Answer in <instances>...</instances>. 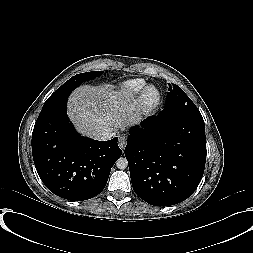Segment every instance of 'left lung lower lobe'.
Wrapping results in <instances>:
<instances>
[{"label":"left lung lower lobe","instance_id":"0a47b994","mask_svg":"<svg viewBox=\"0 0 253 253\" xmlns=\"http://www.w3.org/2000/svg\"><path fill=\"white\" fill-rule=\"evenodd\" d=\"M125 156L135 193L154 206L187 199L199 185L206 161L199 111L164 109L129 130Z\"/></svg>","mask_w":253,"mask_h":253}]
</instances>
